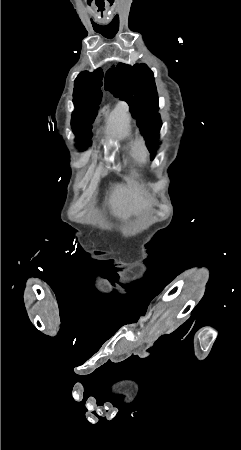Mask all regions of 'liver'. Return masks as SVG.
Returning <instances> with one entry per match:
<instances>
[{
    "mask_svg": "<svg viewBox=\"0 0 241 450\" xmlns=\"http://www.w3.org/2000/svg\"><path fill=\"white\" fill-rule=\"evenodd\" d=\"M141 192L139 190H134V188H127V186H118L116 190V196L121 200L123 208L127 210H136L140 206ZM145 206H148L147 202H143Z\"/></svg>",
    "mask_w": 241,
    "mask_h": 450,
    "instance_id": "1",
    "label": "liver"
}]
</instances>
